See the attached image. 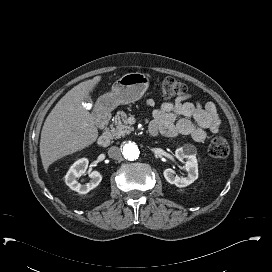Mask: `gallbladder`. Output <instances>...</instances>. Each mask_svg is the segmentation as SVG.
Here are the masks:
<instances>
[{
	"label": "gallbladder",
	"mask_w": 272,
	"mask_h": 272,
	"mask_svg": "<svg viewBox=\"0 0 272 272\" xmlns=\"http://www.w3.org/2000/svg\"><path fill=\"white\" fill-rule=\"evenodd\" d=\"M84 101H86L87 103H92L91 97L88 96Z\"/></svg>",
	"instance_id": "1"
}]
</instances>
